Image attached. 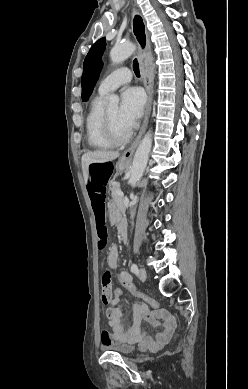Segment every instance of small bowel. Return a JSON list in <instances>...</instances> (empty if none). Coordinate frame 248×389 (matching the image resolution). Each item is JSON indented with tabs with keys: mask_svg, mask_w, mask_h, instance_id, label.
<instances>
[{
	"mask_svg": "<svg viewBox=\"0 0 248 389\" xmlns=\"http://www.w3.org/2000/svg\"><path fill=\"white\" fill-rule=\"evenodd\" d=\"M117 259L118 249L116 246H112L108 254L109 266L113 269L115 275L119 274L120 278L128 277L134 284V280L128 272L117 270ZM112 294L110 300L107 302L111 304V307L106 310V316L112 333L106 330L102 332V344L112 343L114 340L138 342L144 348L153 350L168 342L175 329V321L168 312L163 310L151 312L146 305L137 303L133 306V323L130 327H126L123 323V312L117 307L122 298H113ZM143 321H147L154 327L160 328L154 337L142 330L141 324Z\"/></svg>",
	"mask_w": 248,
	"mask_h": 389,
	"instance_id": "1",
	"label": "small bowel"
}]
</instances>
